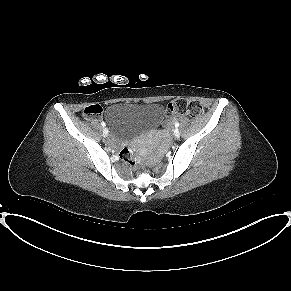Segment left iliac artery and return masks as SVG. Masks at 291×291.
<instances>
[{
    "label": "left iliac artery",
    "mask_w": 291,
    "mask_h": 291,
    "mask_svg": "<svg viewBox=\"0 0 291 291\" xmlns=\"http://www.w3.org/2000/svg\"><path fill=\"white\" fill-rule=\"evenodd\" d=\"M179 126V122H176L175 123V127L177 128Z\"/></svg>",
    "instance_id": "1"
}]
</instances>
